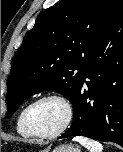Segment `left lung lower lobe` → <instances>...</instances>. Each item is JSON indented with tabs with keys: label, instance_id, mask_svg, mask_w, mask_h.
<instances>
[{
	"label": "left lung lower lobe",
	"instance_id": "obj_1",
	"mask_svg": "<svg viewBox=\"0 0 123 152\" xmlns=\"http://www.w3.org/2000/svg\"><path fill=\"white\" fill-rule=\"evenodd\" d=\"M72 105L73 123L59 139L86 136L123 147V1L85 61Z\"/></svg>",
	"mask_w": 123,
	"mask_h": 152
}]
</instances>
